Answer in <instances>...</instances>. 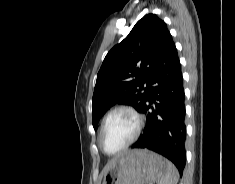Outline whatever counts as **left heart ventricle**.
Masks as SVG:
<instances>
[{"label": "left heart ventricle", "instance_id": "b2bd125f", "mask_svg": "<svg viewBox=\"0 0 235 184\" xmlns=\"http://www.w3.org/2000/svg\"><path fill=\"white\" fill-rule=\"evenodd\" d=\"M136 120L129 112L115 113L102 135V145L109 153L121 149L134 135Z\"/></svg>", "mask_w": 235, "mask_h": 184}]
</instances>
